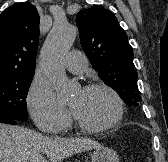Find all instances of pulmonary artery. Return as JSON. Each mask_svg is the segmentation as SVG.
I'll use <instances>...</instances> for the list:
<instances>
[{
	"instance_id": "obj_1",
	"label": "pulmonary artery",
	"mask_w": 168,
	"mask_h": 162,
	"mask_svg": "<svg viewBox=\"0 0 168 162\" xmlns=\"http://www.w3.org/2000/svg\"><path fill=\"white\" fill-rule=\"evenodd\" d=\"M65 66L70 72L81 74L88 67V59L84 53L73 50L66 55Z\"/></svg>"
}]
</instances>
